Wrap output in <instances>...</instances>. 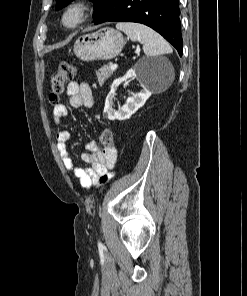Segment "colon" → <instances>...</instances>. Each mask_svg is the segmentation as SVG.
Returning a JSON list of instances; mask_svg holds the SVG:
<instances>
[{"label":"colon","mask_w":247,"mask_h":296,"mask_svg":"<svg viewBox=\"0 0 247 296\" xmlns=\"http://www.w3.org/2000/svg\"><path fill=\"white\" fill-rule=\"evenodd\" d=\"M75 75L76 69L74 66L67 62L60 64L58 71L51 79L49 98L52 102H57L63 96L67 83L72 80ZM100 144L104 148H112L114 144V133L110 127H103L100 134ZM110 178L107 175L102 176L100 178V183L105 184Z\"/></svg>","instance_id":"colon-1"}]
</instances>
